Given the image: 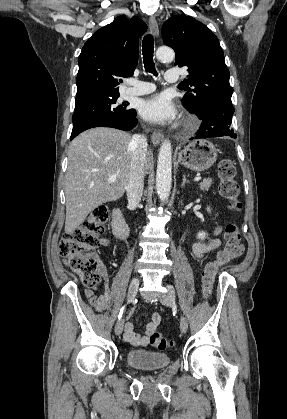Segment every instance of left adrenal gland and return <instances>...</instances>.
<instances>
[{
	"label": "left adrenal gland",
	"mask_w": 287,
	"mask_h": 419,
	"mask_svg": "<svg viewBox=\"0 0 287 419\" xmlns=\"http://www.w3.org/2000/svg\"><path fill=\"white\" fill-rule=\"evenodd\" d=\"M186 183H189V181L186 179V176H185V175H183V182H182L181 187L183 188V187L185 186V184H186Z\"/></svg>",
	"instance_id": "a2214340"
}]
</instances>
